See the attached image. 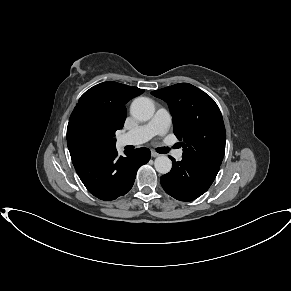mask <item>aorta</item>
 <instances>
[{
	"label": "aorta",
	"mask_w": 291,
	"mask_h": 291,
	"mask_svg": "<svg viewBox=\"0 0 291 291\" xmlns=\"http://www.w3.org/2000/svg\"><path fill=\"white\" fill-rule=\"evenodd\" d=\"M154 112V103L147 97L136 98L130 106L131 115L139 121L150 120ZM154 166L157 172L167 174L171 170L172 162L169 157L160 155L155 159Z\"/></svg>",
	"instance_id": "1"
}]
</instances>
